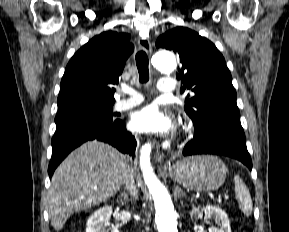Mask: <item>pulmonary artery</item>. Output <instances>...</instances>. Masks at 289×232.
Returning a JSON list of instances; mask_svg holds the SVG:
<instances>
[{
	"mask_svg": "<svg viewBox=\"0 0 289 232\" xmlns=\"http://www.w3.org/2000/svg\"><path fill=\"white\" fill-rule=\"evenodd\" d=\"M176 89V85L171 78H161L158 82V90L163 94L173 93ZM123 92L129 94L130 97L126 99H119L115 103V110L124 111L130 109L143 101V97L131 88H124Z\"/></svg>",
	"mask_w": 289,
	"mask_h": 232,
	"instance_id": "pulmonary-artery-1",
	"label": "pulmonary artery"
}]
</instances>
